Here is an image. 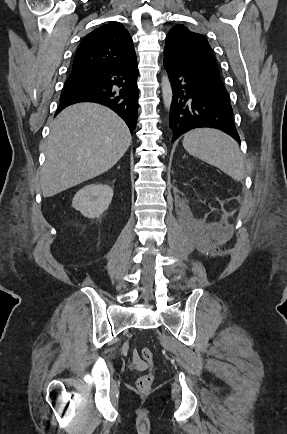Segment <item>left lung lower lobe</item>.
Returning <instances> with one entry per match:
<instances>
[{
  "label": "left lung lower lobe",
  "instance_id": "1",
  "mask_svg": "<svg viewBox=\"0 0 287 434\" xmlns=\"http://www.w3.org/2000/svg\"><path fill=\"white\" fill-rule=\"evenodd\" d=\"M173 99L170 109L172 142L187 131L210 127L240 143L228 93L219 75L202 67L164 57Z\"/></svg>",
  "mask_w": 287,
  "mask_h": 434
}]
</instances>
